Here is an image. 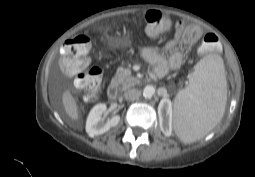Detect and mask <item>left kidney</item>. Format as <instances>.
Wrapping results in <instances>:
<instances>
[{"instance_id":"5707ae66","label":"left kidney","mask_w":255,"mask_h":177,"mask_svg":"<svg viewBox=\"0 0 255 177\" xmlns=\"http://www.w3.org/2000/svg\"><path fill=\"white\" fill-rule=\"evenodd\" d=\"M158 113L165 135L170 136L172 131V103L169 99H163L158 107ZM164 116V119H163Z\"/></svg>"}]
</instances>
